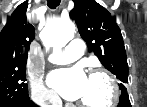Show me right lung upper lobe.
<instances>
[{
  "label": "right lung upper lobe",
  "mask_w": 147,
  "mask_h": 107,
  "mask_svg": "<svg viewBox=\"0 0 147 107\" xmlns=\"http://www.w3.org/2000/svg\"><path fill=\"white\" fill-rule=\"evenodd\" d=\"M28 1L20 4L0 35V73L26 67L28 51L35 38L34 27L27 21Z\"/></svg>",
  "instance_id": "cb5924a9"
}]
</instances>
